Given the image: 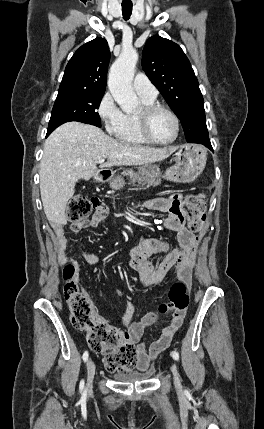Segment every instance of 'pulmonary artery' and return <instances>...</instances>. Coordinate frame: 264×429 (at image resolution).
<instances>
[{"instance_id": "1", "label": "pulmonary artery", "mask_w": 264, "mask_h": 429, "mask_svg": "<svg viewBox=\"0 0 264 429\" xmlns=\"http://www.w3.org/2000/svg\"><path fill=\"white\" fill-rule=\"evenodd\" d=\"M133 88L140 97L147 99H156L158 94L156 87L143 73H139L135 76L133 80Z\"/></svg>"}]
</instances>
